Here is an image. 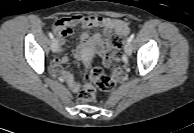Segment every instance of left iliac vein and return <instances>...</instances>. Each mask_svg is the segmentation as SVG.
<instances>
[{
    "mask_svg": "<svg viewBox=\"0 0 194 133\" xmlns=\"http://www.w3.org/2000/svg\"><path fill=\"white\" fill-rule=\"evenodd\" d=\"M125 53L129 56L132 53V45L131 42H126L124 46Z\"/></svg>",
    "mask_w": 194,
    "mask_h": 133,
    "instance_id": "left-iliac-vein-1",
    "label": "left iliac vein"
}]
</instances>
